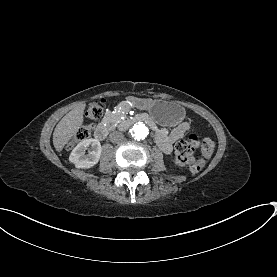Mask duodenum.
<instances>
[{
    "label": "duodenum",
    "instance_id": "obj_1",
    "mask_svg": "<svg viewBox=\"0 0 277 277\" xmlns=\"http://www.w3.org/2000/svg\"><path fill=\"white\" fill-rule=\"evenodd\" d=\"M137 122H144L147 125H149L153 130H157V127L154 121L148 115H145V114L128 117L124 119L120 123L119 128L122 130H125ZM108 132H109V129L106 125H99L95 130V137L98 140H103L107 136Z\"/></svg>",
    "mask_w": 277,
    "mask_h": 277
}]
</instances>
